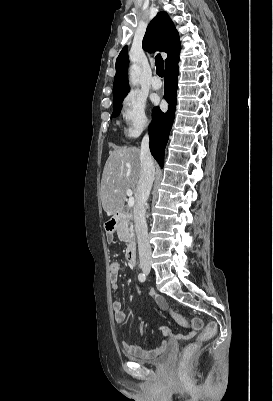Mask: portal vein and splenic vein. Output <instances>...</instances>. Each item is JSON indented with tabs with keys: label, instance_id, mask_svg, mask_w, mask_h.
<instances>
[{
	"label": "portal vein and splenic vein",
	"instance_id": "portal-vein-and-splenic-vein-1",
	"mask_svg": "<svg viewBox=\"0 0 273 401\" xmlns=\"http://www.w3.org/2000/svg\"><path fill=\"white\" fill-rule=\"evenodd\" d=\"M126 194H127V196H129V198H128V207H133V205H134V196H132L133 192H132L131 188H127Z\"/></svg>",
	"mask_w": 273,
	"mask_h": 401
}]
</instances>
